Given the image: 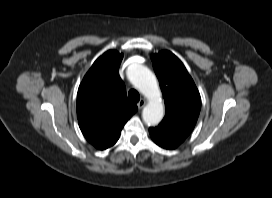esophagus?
Instances as JSON below:
<instances>
[{"label":"esophagus","instance_id":"34e87169","mask_svg":"<svg viewBox=\"0 0 272 198\" xmlns=\"http://www.w3.org/2000/svg\"><path fill=\"white\" fill-rule=\"evenodd\" d=\"M145 104H146L145 99H141V100L137 103V107H138L139 109H142V108L145 106Z\"/></svg>","mask_w":272,"mask_h":198}]
</instances>
